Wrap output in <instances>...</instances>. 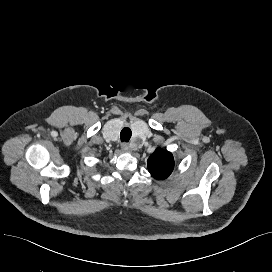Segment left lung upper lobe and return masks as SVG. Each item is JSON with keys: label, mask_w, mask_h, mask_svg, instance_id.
I'll return each mask as SVG.
<instances>
[{"label": "left lung upper lobe", "mask_w": 272, "mask_h": 272, "mask_svg": "<svg viewBox=\"0 0 272 272\" xmlns=\"http://www.w3.org/2000/svg\"><path fill=\"white\" fill-rule=\"evenodd\" d=\"M148 170L151 175L159 180L166 179L170 176L174 168L173 155L157 148L148 158Z\"/></svg>", "instance_id": "1"}]
</instances>
